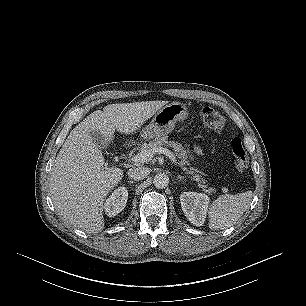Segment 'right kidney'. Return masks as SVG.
<instances>
[{
  "label": "right kidney",
  "instance_id": "obj_1",
  "mask_svg": "<svg viewBox=\"0 0 306 306\" xmlns=\"http://www.w3.org/2000/svg\"><path fill=\"white\" fill-rule=\"evenodd\" d=\"M128 199V190L125 187H118L112 192L104 204L105 213L109 217L119 214L126 206Z\"/></svg>",
  "mask_w": 306,
  "mask_h": 306
}]
</instances>
